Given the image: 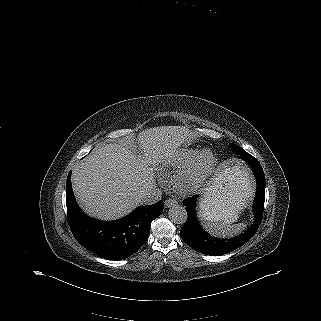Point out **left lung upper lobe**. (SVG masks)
Listing matches in <instances>:
<instances>
[{"instance_id":"obj_1","label":"left lung upper lobe","mask_w":321,"mask_h":321,"mask_svg":"<svg viewBox=\"0 0 321 321\" xmlns=\"http://www.w3.org/2000/svg\"><path fill=\"white\" fill-rule=\"evenodd\" d=\"M231 150L233 153H235L236 155L239 154V152L244 151L240 146L233 144V143H229Z\"/></svg>"}]
</instances>
